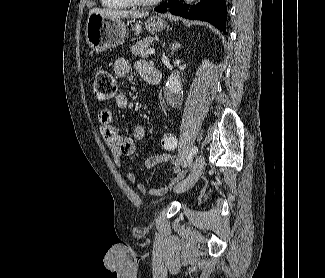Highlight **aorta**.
<instances>
[{
    "mask_svg": "<svg viewBox=\"0 0 325 278\" xmlns=\"http://www.w3.org/2000/svg\"><path fill=\"white\" fill-rule=\"evenodd\" d=\"M187 3H190L194 0H185ZM167 90L170 94L178 95L181 92V80L179 76V72L175 71L172 73L167 81Z\"/></svg>",
    "mask_w": 325,
    "mask_h": 278,
    "instance_id": "obj_1",
    "label": "aorta"
}]
</instances>
